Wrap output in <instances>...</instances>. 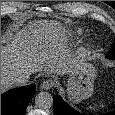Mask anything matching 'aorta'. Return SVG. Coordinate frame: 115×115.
I'll return each mask as SVG.
<instances>
[{
  "mask_svg": "<svg viewBox=\"0 0 115 115\" xmlns=\"http://www.w3.org/2000/svg\"><path fill=\"white\" fill-rule=\"evenodd\" d=\"M35 104L38 108L49 109L53 106V96L48 92H40L35 97Z\"/></svg>",
  "mask_w": 115,
  "mask_h": 115,
  "instance_id": "1",
  "label": "aorta"
}]
</instances>
